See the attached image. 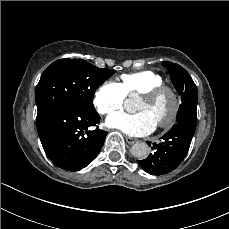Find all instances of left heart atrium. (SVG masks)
<instances>
[{"label": "left heart atrium", "mask_w": 229, "mask_h": 229, "mask_svg": "<svg viewBox=\"0 0 229 229\" xmlns=\"http://www.w3.org/2000/svg\"><path fill=\"white\" fill-rule=\"evenodd\" d=\"M106 125L132 136H144L153 131L156 122L144 111L134 114L118 112L107 118Z\"/></svg>", "instance_id": "1"}]
</instances>
